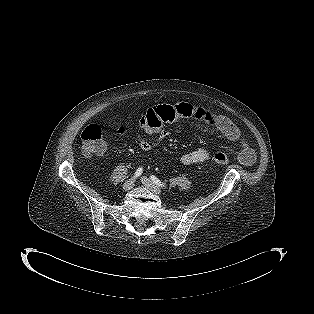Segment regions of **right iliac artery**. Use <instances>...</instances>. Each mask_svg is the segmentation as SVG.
Listing matches in <instances>:
<instances>
[{"label":"right iliac artery","instance_id":"right-iliac-artery-1","mask_svg":"<svg viewBox=\"0 0 314 314\" xmlns=\"http://www.w3.org/2000/svg\"><path fill=\"white\" fill-rule=\"evenodd\" d=\"M142 172H143L142 167H139V168L136 170L135 174H134V178L140 176V175L142 174Z\"/></svg>","mask_w":314,"mask_h":314}]
</instances>
